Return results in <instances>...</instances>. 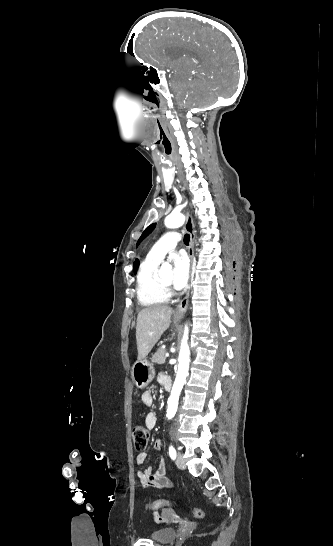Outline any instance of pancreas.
<instances>
[{
    "instance_id": "pancreas-1",
    "label": "pancreas",
    "mask_w": 333,
    "mask_h": 546,
    "mask_svg": "<svg viewBox=\"0 0 333 546\" xmlns=\"http://www.w3.org/2000/svg\"><path fill=\"white\" fill-rule=\"evenodd\" d=\"M166 350L164 348H159L157 352L152 356V362L157 364H164L166 361Z\"/></svg>"
}]
</instances>
